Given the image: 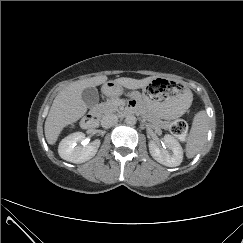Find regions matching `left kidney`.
I'll use <instances>...</instances> for the list:
<instances>
[{
	"label": "left kidney",
	"instance_id": "5707ae66",
	"mask_svg": "<svg viewBox=\"0 0 243 243\" xmlns=\"http://www.w3.org/2000/svg\"><path fill=\"white\" fill-rule=\"evenodd\" d=\"M164 144L167 149L160 148L158 143L154 140L149 142V152L151 156L160 164L167 167L179 166L183 160V149L172 135H165Z\"/></svg>",
	"mask_w": 243,
	"mask_h": 243
}]
</instances>
